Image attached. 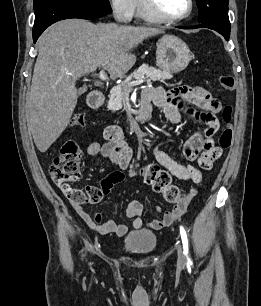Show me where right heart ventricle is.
Masks as SVG:
<instances>
[{"label":"right heart ventricle","instance_id":"1","mask_svg":"<svg viewBox=\"0 0 261 306\" xmlns=\"http://www.w3.org/2000/svg\"><path fill=\"white\" fill-rule=\"evenodd\" d=\"M136 16L140 19L146 20V21H151V22H155L157 20L151 18L150 16H148L142 9L141 5H140V1L139 0H135V10H134Z\"/></svg>","mask_w":261,"mask_h":306}]
</instances>
